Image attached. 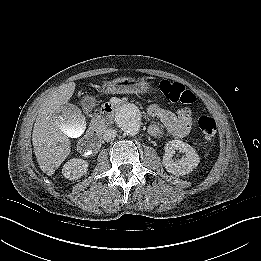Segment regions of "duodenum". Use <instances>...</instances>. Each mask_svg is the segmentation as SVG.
<instances>
[{
	"mask_svg": "<svg viewBox=\"0 0 261 261\" xmlns=\"http://www.w3.org/2000/svg\"><path fill=\"white\" fill-rule=\"evenodd\" d=\"M114 119V111L111 106H107L101 116L94 120L93 128L79 142L78 149L82 154H93L97 152L102 143L100 139L101 131Z\"/></svg>",
	"mask_w": 261,
	"mask_h": 261,
	"instance_id": "duodenum-1",
	"label": "duodenum"
}]
</instances>
